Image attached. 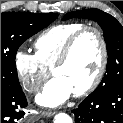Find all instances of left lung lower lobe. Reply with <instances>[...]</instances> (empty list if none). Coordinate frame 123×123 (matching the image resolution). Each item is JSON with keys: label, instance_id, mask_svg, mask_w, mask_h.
Returning <instances> with one entry per match:
<instances>
[{"label": "left lung lower lobe", "instance_id": "1", "mask_svg": "<svg viewBox=\"0 0 123 123\" xmlns=\"http://www.w3.org/2000/svg\"><path fill=\"white\" fill-rule=\"evenodd\" d=\"M72 112L75 123H123V85L92 92Z\"/></svg>", "mask_w": 123, "mask_h": 123}]
</instances>
